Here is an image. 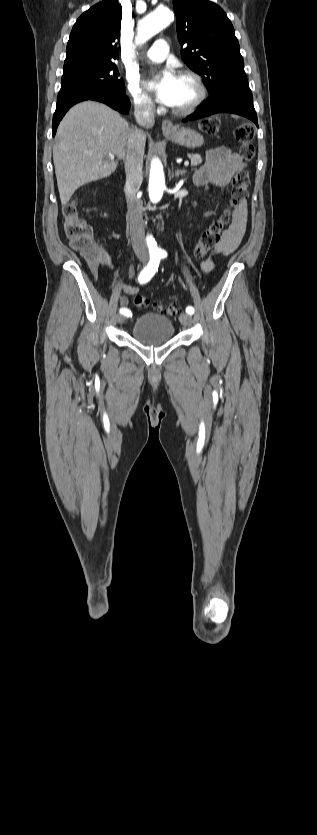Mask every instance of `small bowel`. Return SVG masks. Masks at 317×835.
Masks as SVG:
<instances>
[{"instance_id": "obj_1", "label": "small bowel", "mask_w": 317, "mask_h": 835, "mask_svg": "<svg viewBox=\"0 0 317 835\" xmlns=\"http://www.w3.org/2000/svg\"><path fill=\"white\" fill-rule=\"evenodd\" d=\"M245 166L246 163L229 147L213 148L206 153L204 163L194 171L192 180L198 186L212 184L216 187H225ZM247 220V210L245 207H241L230 227L224 232L222 240L215 246L213 253L200 263L202 271L210 272L214 270L217 265V256H228L239 246L247 229ZM87 262L91 272L95 275L99 273L101 266L108 267L117 275L114 262L105 249H97L94 258L88 259ZM121 287L124 295L120 298V304L126 306L128 303L127 296L138 294L140 289L124 282L121 283Z\"/></svg>"}]
</instances>
